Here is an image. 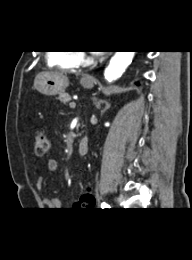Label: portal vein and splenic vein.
I'll return each mask as SVG.
<instances>
[{"label": "portal vein and splenic vein", "mask_w": 192, "mask_h": 260, "mask_svg": "<svg viewBox=\"0 0 192 260\" xmlns=\"http://www.w3.org/2000/svg\"><path fill=\"white\" fill-rule=\"evenodd\" d=\"M69 106H70V108H75L76 107V103L72 101V102L69 103Z\"/></svg>", "instance_id": "obj_1"}]
</instances>
